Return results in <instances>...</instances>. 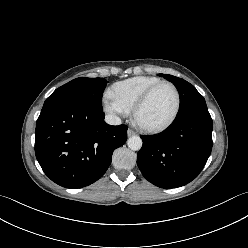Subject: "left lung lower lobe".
Here are the masks:
<instances>
[{"instance_id": "obj_1", "label": "left lung lower lobe", "mask_w": 248, "mask_h": 248, "mask_svg": "<svg viewBox=\"0 0 248 248\" xmlns=\"http://www.w3.org/2000/svg\"><path fill=\"white\" fill-rule=\"evenodd\" d=\"M213 122L206 104L178 115L162 134L142 136L137 165L143 176L161 188H176L203 169L212 149Z\"/></svg>"}]
</instances>
